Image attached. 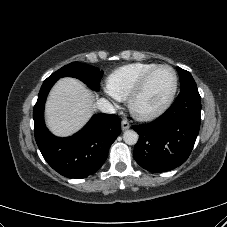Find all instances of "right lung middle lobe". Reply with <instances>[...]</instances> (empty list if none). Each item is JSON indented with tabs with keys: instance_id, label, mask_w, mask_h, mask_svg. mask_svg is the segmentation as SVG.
Returning a JSON list of instances; mask_svg holds the SVG:
<instances>
[{
	"instance_id": "obj_1",
	"label": "right lung middle lobe",
	"mask_w": 227,
	"mask_h": 227,
	"mask_svg": "<svg viewBox=\"0 0 227 227\" xmlns=\"http://www.w3.org/2000/svg\"><path fill=\"white\" fill-rule=\"evenodd\" d=\"M103 71L88 64L72 62L50 75L45 81H57L62 77H74L90 87L92 90L99 91L100 79Z\"/></svg>"
}]
</instances>
